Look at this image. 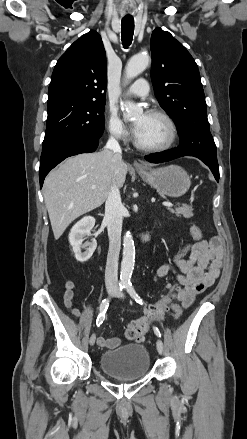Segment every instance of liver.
<instances>
[{"mask_svg":"<svg viewBox=\"0 0 247 439\" xmlns=\"http://www.w3.org/2000/svg\"><path fill=\"white\" fill-rule=\"evenodd\" d=\"M127 171L122 159L114 161V153L103 150L70 157L50 172L44 181V200L54 238L58 240L76 218L101 206L113 182L122 187Z\"/></svg>","mask_w":247,"mask_h":439,"instance_id":"liver-1","label":"liver"}]
</instances>
